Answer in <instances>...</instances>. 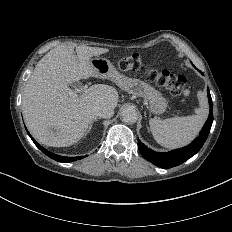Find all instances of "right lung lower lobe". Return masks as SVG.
<instances>
[{
	"label": "right lung lower lobe",
	"instance_id": "obj_1",
	"mask_svg": "<svg viewBox=\"0 0 232 232\" xmlns=\"http://www.w3.org/2000/svg\"><path fill=\"white\" fill-rule=\"evenodd\" d=\"M29 134V133H28ZM30 135V134H29ZM31 137V135H30ZM33 142L35 143V145L47 156H49L50 158L58 161V162H70V161H76L78 159H81L82 156L79 157H65V156H60L57 154H54L52 152L47 151L45 148H43L42 146H40L35 140L34 138H32Z\"/></svg>",
	"mask_w": 232,
	"mask_h": 232
}]
</instances>
